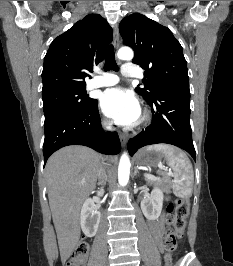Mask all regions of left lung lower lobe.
Masks as SVG:
<instances>
[{
  "mask_svg": "<svg viewBox=\"0 0 233 266\" xmlns=\"http://www.w3.org/2000/svg\"><path fill=\"white\" fill-rule=\"evenodd\" d=\"M147 103L151 106L152 123L129 140L130 155L132 156L139 148L146 145L167 143L186 150L196 160L190 126L189 89L169 90Z\"/></svg>",
  "mask_w": 233,
  "mask_h": 266,
  "instance_id": "obj_1",
  "label": "left lung lower lobe"
}]
</instances>
